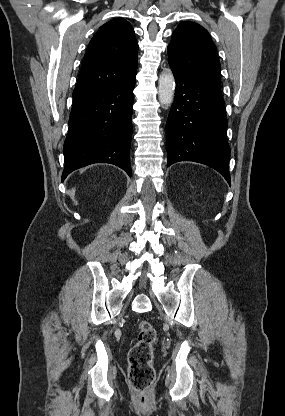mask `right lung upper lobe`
I'll use <instances>...</instances> for the list:
<instances>
[{
	"label": "right lung upper lobe",
	"mask_w": 285,
	"mask_h": 416,
	"mask_svg": "<svg viewBox=\"0 0 285 416\" xmlns=\"http://www.w3.org/2000/svg\"><path fill=\"white\" fill-rule=\"evenodd\" d=\"M138 43L134 30L124 19L102 25L91 39L73 102L103 93L137 73Z\"/></svg>",
	"instance_id": "1"
}]
</instances>
